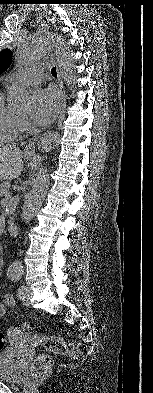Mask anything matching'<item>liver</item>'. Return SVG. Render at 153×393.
<instances>
[{
    "label": "liver",
    "instance_id": "1",
    "mask_svg": "<svg viewBox=\"0 0 153 393\" xmlns=\"http://www.w3.org/2000/svg\"><path fill=\"white\" fill-rule=\"evenodd\" d=\"M24 153L15 145L0 147V181L19 177L24 168Z\"/></svg>",
    "mask_w": 153,
    "mask_h": 393
}]
</instances>
